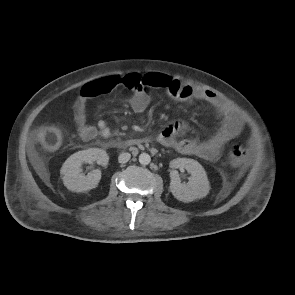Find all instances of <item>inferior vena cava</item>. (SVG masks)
Wrapping results in <instances>:
<instances>
[{"instance_id":"602c4592","label":"inferior vena cava","mask_w":295,"mask_h":295,"mask_svg":"<svg viewBox=\"0 0 295 295\" xmlns=\"http://www.w3.org/2000/svg\"><path fill=\"white\" fill-rule=\"evenodd\" d=\"M131 154L128 152L121 153L118 157L119 163H126L130 160Z\"/></svg>"}]
</instances>
